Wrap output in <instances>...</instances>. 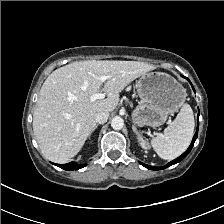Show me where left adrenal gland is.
Segmentation results:
<instances>
[{"label": "left adrenal gland", "mask_w": 224, "mask_h": 224, "mask_svg": "<svg viewBox=\"0 0 224 224\" xmlns=\"http://www.w3.org/2000/svg\"><path fill=\"white\" fill-rule=\"evenodd\" d=\"M132 130L137 135L138 138H142L141 134L139 133L135 125H132Z\"/></svg>", "instance_id": "1"}]
</instances>
